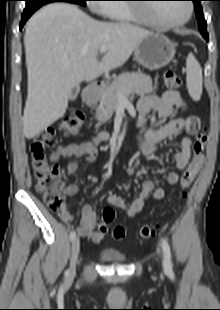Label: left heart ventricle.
I'll use <instances>...</instances> for the list:
<instances>
[{
  "label": "left heart ventricle",
  "instance_id": "1",
  "mask_svg": "<svg viewBox=\"0 0 220 310\" xmlns=\"http://www.w3.org/2000/svg\"><path fill=\"white\" fill-rule=\"evenodd\" d=\"M151 11L160 20L173 23L186 16L187 7L185 3H166L156 5Z\"/></svg>",
  "mask_w": 220,
  "mask_h": 310
}]
</instances>
